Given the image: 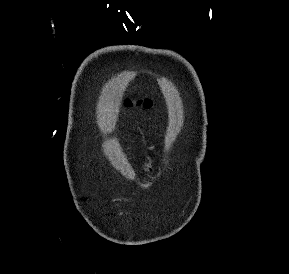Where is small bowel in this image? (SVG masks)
<instances>
[{
    "label": "small bowel",
    "instance_id": "obj_1",
    "mask_svg": "<svg viewBox=\"0 0 289 274\" xmlns=\"http://www.w3.org/2000/svg\"><path fill=\"white\" fill-rule=\"evenodd\" d=\"M146 169H147L148 171H152V161H151V159H148V160H147Z\"/></svg>",
    "mask_w": 289,
    "mask_h": 274
}]
</instances>
